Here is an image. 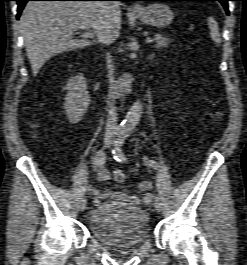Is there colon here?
<instances>
[{
  "mask_svg": "<svg viewBox=\"0 0 247 265\" xmlns=\"http://www.w3.org/2000/svg\"><path fill=\"white\" fill-rule=\"evenodd\" d=\"M214 116L216 118H219L220 117V112L216 111L214 113ZM113 177H114V180L119 183V184H122L124 181H125V175L120 171V170H116L113 172Z\"/></svg>",
  "mask_w": 247,
  "mask_h": 265,
  "instance_id": "obj_1",
  "label": "colon"
}]
</instances>
